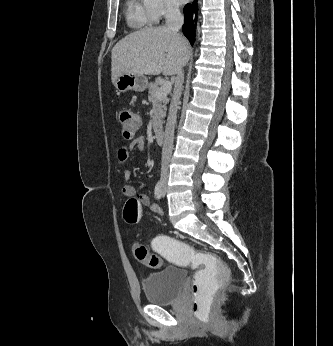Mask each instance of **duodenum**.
Wrapping results in <instances>:
<instances>
[{
    "label": "duodenum",
    "instance_id": "1",
    "mask_svg": "<svg viewBox=\"0 0 333 346\" xmlns=\"http://www.w3.org/2000/svg\"><path fill=\"white\" fill-rule=\"evenodd\" d=\"M154 137L157 143L161 144L164 142V130L161 128H157L154 131Z\"/></svg>",
    "mask_w": 333,
    "mask_h": 346
}]
</instances>
